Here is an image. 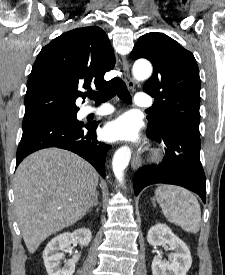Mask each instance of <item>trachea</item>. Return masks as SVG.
Returning <instances> with one entry per match:
<instances>
[{
	"instance_id": "trachea-1",
	"label": "trachea",
	"mask_w": 225,
	"mask_h": 275,
	"mask_svg": "<svg viewBox=\"0 0 225 275\" xmlns=\"http://www.w3.org/2000/svg\"><path fill=\"white\" fill-rule=\"evenodd\" d=\"M117 95L123 102L131 104V95L126 87L125 82L116 77L104 89L88 94L90 99H93L96 104L106 102Z\"/></svg>"
}]
</instances>
